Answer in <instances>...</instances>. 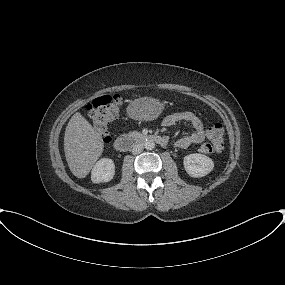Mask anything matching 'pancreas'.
Wrapping results in <instances>:
<instances>
[{
	"label": "pancreas",
	"instance_id": "cf45deb5",
	"mask_svg": "<svg viewBox=\"0 0 285 285\" xmlns=\"http://www.w3.org/2000/svg\"><path fill=\"white\" fill-rule=\"evenodd\" d=\"M130 134H131V135H133V136H137V135H139V133H138V132H131Z\"/></svg>",
	"mask_w": 285,
	"mask_h": 285
}]
</instances>
